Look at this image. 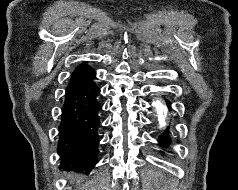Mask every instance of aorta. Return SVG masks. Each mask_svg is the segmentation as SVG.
I'll return each mask as SVG.
<instances>
[{"label": "aorta", "mask_w": 238, "mask_h": 190, "mask_svg": "<svg viewBox=\"0 0 238 190\" xmlns=\"http://www.w3.org/2000/svg\"><path fill=\"white\" fill-rule=\"evenodd\" d=\"M152 105L154 107L155 112L157 113V119L159 122V125L165 126L166 125V121H167V117H168V107L165 104V102L159 98L156 97L153 102Z\"/></svg>", "instance_id": "1"}]
</instances>
